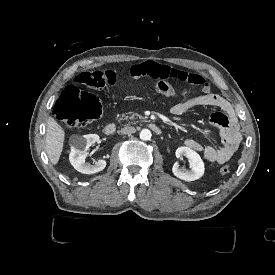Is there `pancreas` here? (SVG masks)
Returning <instances> with one entry per match:
<instances>
[{"label":"pancreas","mask_w":275,"mask_h":275,"mask_svg":"<svg viewBox=\"0 0 275 275\" xmlns=\"http://www.w3.org/2000/svg\"><path fill=\"white\" fill-rule=\"evenodd\" d=\"M122 118H123L124 120L130 119V120H132V122H134V119H142L140 115L135 114V113H133V112H130V113L126 114V115L123 114V115H122ZM122 118H119V120H121Z\"/></svg>","instance_id":"pancreas-1"}]
</instances>
